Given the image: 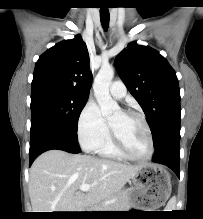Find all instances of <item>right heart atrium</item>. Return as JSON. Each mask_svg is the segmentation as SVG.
I'll return each mask as SVG.
<instances>
[{
	"instance_id": "1",
	"label": "right heart atrium",
	"mask_w": 203,
	"mask_h": 219,
	"mask_svg": "<svg viewBox=\"0 0 203 219\" xmlns=\"http://www.w3.org/2000/svg\"><path fill=\"white\" fill-rule=\"evenodd\" d=\"M109 133V125L98 105L88 101L80 112L77 122L78 139L86 151H96Z\"/></svg>"
}]
</instances>
